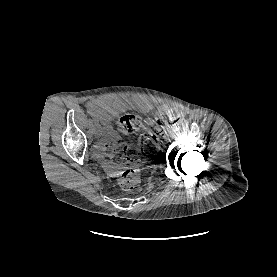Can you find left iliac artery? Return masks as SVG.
I'll use <instances>...</instances> for the list:
<instances>
[{"mask_svg":"<svg viewBox=\"0 0 277 277\" xmlns=\"http://www.w3.org/2000/svg\"><path fill=\"white\" fill-rule=\"evenodd\" d=\"M179 130H180V126L179 125L174 126L173 131L175 133L179 132Z\"/></svg>","mask_w":277,"mask_h":277,"instance_id":"left-iliac-artery-1","label":"left iliac artery"}]
</instances>
